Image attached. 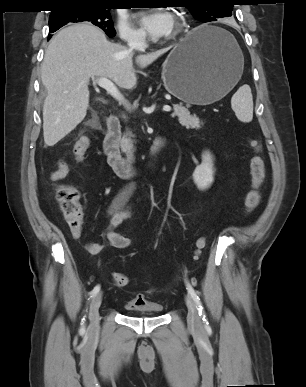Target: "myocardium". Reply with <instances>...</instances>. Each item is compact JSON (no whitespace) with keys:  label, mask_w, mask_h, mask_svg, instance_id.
I'll return each instance as SVG.
<instances>
[{"label":"myocardium","mask_w":306,"mask_h":387,"mask_svg":"<svg viewBox=\"0 0 306 387\" xmlns=\"http://www.w3.org/2000/svg\"><path fill=\"white\" fill-rule=\"evenodd\" d=\"M174 21H175V31L173 35H176L180 32L182 28V23H183V16L180 13H175L174 14Z\"/></svg>","instance_id":"myocardium-1"}]
</instances>
